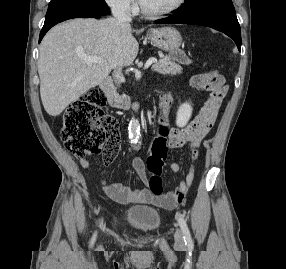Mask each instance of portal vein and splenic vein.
Returning <instances> with one entry per match:
<instances>
[{
	"label": "portal vein and splenic vein",
	"mask_w": 286,
	"mask_h": 269,
	"mask_svg": "<svg viewBox=\"0 0 286 269\" xmlns=\"http://www.w3.org/2000/svg\"><path fill=\"white\" fill-rule=\"evenodd\" d=\"M82 59L90 64V63H98V62H102V58L101 57H98V56H89V55H82ZM157 62V59L155 58H151L149 59L146 63H145V66L144 68L147 69L148 67H150L152 64L156 63Z\"/></svg>",
	"instance_id": "obj_1"
}]
</instances>
